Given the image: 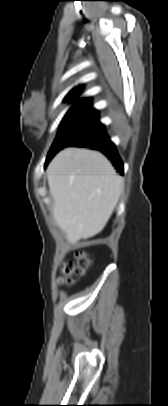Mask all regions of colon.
<instances>
[{"label": "colon", "instance_id": "1", "mask_svg": "<svg viewBox=\"0 0 168 406\" xmlns=\"http://www.w3.org/2000/svg\"><path fill=\"white\" fill-rule=\"evenodd\" d=\"M91 264L92 260L87 253L82 251L77 252L73 260H68L63 263L61 268L62 276L59 278V284L63 286L73 285L76 280L85 276Z\"/></svg>", "mask_w": 168, "mask_h": 406}]
</instances>
